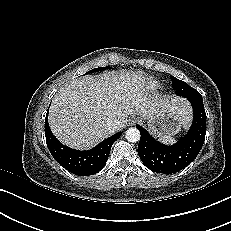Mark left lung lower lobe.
<instances>
[{
  "label": "left lung lower lobe",
  "instance_id": "obj_1",
  "mask_svg": "<svg viewBox=\"0 0 231 231\" xmlns=\"http://www.w3.org/2000/svg\"><path fill=\"white\" fill-rule=\"evenodd\" d=\"M193 107L194 119L188 133L178 143L166 146L156 141L141 126L138 154L143 164L157 173L172 174L187 167L200 152L206 134V113L202 97L187 98Z\"/></svg>",
  "mask_w": 231,
  "mask_h": 231
}]
</instances>
